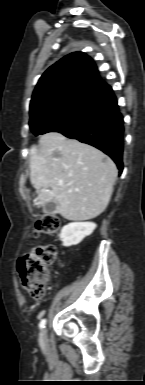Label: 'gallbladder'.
Instances as JSON below:
<instances>
[{
  "instance_id": "obj_1",
  "label": "gallbladder",
  "mask_w": 145,
  "mask_h": 385,
  "mask_svg": "<svg viewBox=\"0 0 145 385\" xmlns=\"http://www.w3.org/2000/svg\"><path fill=\"white\" fill-rule=\"evenodd\" d=\"M57 210V204L55 202H47L43 205V212L46 214H55Z\"/></svg>"
}]
</instances>
